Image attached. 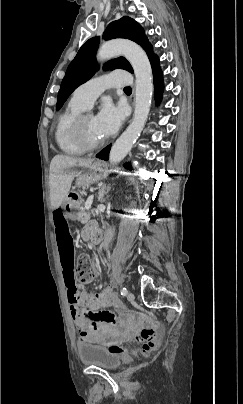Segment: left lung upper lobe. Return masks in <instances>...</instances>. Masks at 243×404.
Returning <instances> with one entry per match:
<instances>
[{
  "mask_svg": "<svg viewBox=\"0 0 243 404\" xmlns=\"http://www.w3.org/2000/svg\"><path fill=\"white\" fill-rule=\"evenodd\" d=\"M105 40L114 38H127L138 43L147 53L148 58L152 61L156 55L153 48L145 36L144 30L139 23L130 17H122L109 24L103 34ZM99 46V37H94L86 41L79 49L77 55L70 63L65 77L62 80L58 93L56 110H59L70 94L81 84L89 80L97 71L96 52ZM115 68L125 69L133 73L130 63L124 58L107 62L104 70H113Z\"/></svg>",
  "mask_w": 243,
  "mask_h": 404,
  "instance_id": "obj_1",
  "label": "left lung upper lobe"
}]
</instances>
